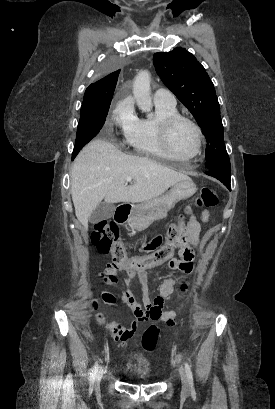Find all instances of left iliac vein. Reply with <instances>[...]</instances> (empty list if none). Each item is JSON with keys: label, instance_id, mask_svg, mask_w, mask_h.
Segmentation results:
<instances>
[{"label": "left iliac vein", "instance_id": "4c4485c4", "mask_svg": "<svg viewBox=\"0 0 275 409\" xmlns=\"http://www.w3.org/2000/svg\"><path fill=\"white\" fill-rule=\"evenodd\" d=\"M180 377H181V383H182V388L185 392L189 391V383L186 377V374L184 370L179 369Z\"/></svg>", "mask_w": 275, "mask_h": 409}]
</instances>
